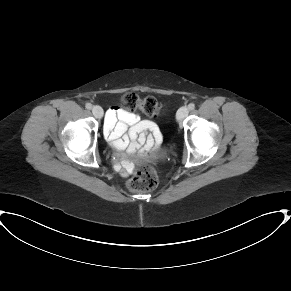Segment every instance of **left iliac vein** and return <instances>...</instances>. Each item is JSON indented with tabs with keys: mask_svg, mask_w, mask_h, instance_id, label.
I'll return each mask as SVG.
<instances>
[{
	"mask_svg": "<svg viewBox=\"0 0 291 291\" xmlns=\"http://www.w3.org/2000/svg\"><path fill=\"white\" fill-rule=\"evenodd\" d=\"M189 110L187 107H181L176 114V119L178 122H181L185 117L188 116Z\"/></svg>",
	"mask_w": 291,
	"mask_h": 291,
	"instance_id": "left-iliac-vein-1",
	"label": "left iliac vein"
}]
</instances>
